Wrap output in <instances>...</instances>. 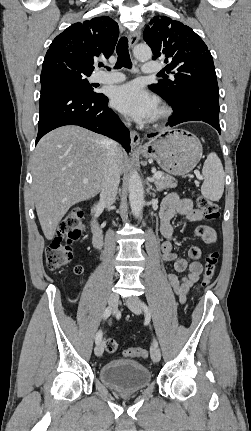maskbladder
<instances>
[{"mask_svg":"<svg viewBox=\"0 0 251 431\" xmlns=\"http://www.w3.org/2000/svg\"><path fill=\"white\" fill-rule=\"evenodd\" d=\"M99 378L118 392L129 393L145 388L151 373L143 364L132 360H111L99 369Z\"/></svg>","mask_w":251,"mask_h":431,"instance_id":"31cf9c89","label":"bladder"}]
</instances>
